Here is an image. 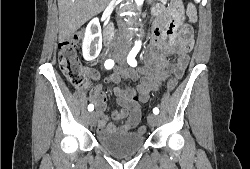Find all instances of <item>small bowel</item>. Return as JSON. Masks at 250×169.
<instances>
[{
    "label": "small bowel",
    "instance_id": "c3829d8e",
    "mask_svg": "<svg viewBox=\"0 0 250 169\" xmlns=\"http://www.w3.org/2000/svg\"><path fill=\"white\" fill-rule=\"evenodd\" d=\"M191 22H195L196 15L189 14ZM170 24L166 21L161 22L153 33L150 51L145 56L140 68L142 76L131 69H123L115 71L105 79H101L100 74L95 69H87L89 77L95 81V87L91 94V101L95 105L96 113L99 117L98 132L101 135L109 133H128L132 131L140 122L141 108L140 103L149 101L150 94L156 91L163 82H167V77H172V72H179L182 77L184 70L189 61V53L193 48L192 33L187 28V32L177 36L179 26L182 24V18L178 12H171L168 16ZM173 37L172 43H165L166 37ZM175 54V62L170 61V56ZM130 79L137 80V93L139 98L134 99V91L121 87V80ZM105 83H113L116 85L114 92L117 97V103L121 110L113 113L115 121L124 119L122 125L115 123L107 124V117L104 113L107 103V95L104 91ZM177 83V82H167ZM173 89V88H168Z\"/></svg>",
    "mask_w": 250,
    "mask_h": 169
}]
</instances>
